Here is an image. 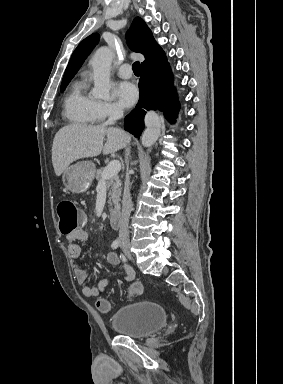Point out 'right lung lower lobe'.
Instances as JSON below:
<instances>
[{"mask_svg": "<svg viewBox=\"0 0 283 384\" xmlns=\"http://www.w3.org/2000/svg\"><path fill=\"white\" fill-rule=\"evenodd\" d=\"M140 98L124 120V129L139 138L144 129L145 110H163L170 122H175L179 102L173 86V78L168 63L155 70L141 71L139 80Z\"/></svg>", "mask_w": 283, "mask_h": 384, "instance_id": "98d812e1", "label": "right lung lower lobe"}]
</instances>
